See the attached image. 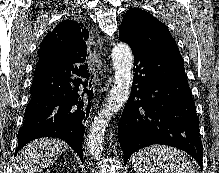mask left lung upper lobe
Masks as SVG:
<instances>
[{
  "mask_svg": "<svg viewBox=\"0 0 219 173\" xmlns=\"http://www.w3.org/2000/svg\"><path fill=\"white\" fill-rule=\"evenodd\" d=\"M119 38L134 50L161 56H181L169 29L151 14L139 8L129 9L119 28Z\"/></svg>",
  "mask_w": 219,
  "mask_h": 173,
  "instance_id": "obj_1",
  "label": "left lung upper lobe"
}]
</instances>
